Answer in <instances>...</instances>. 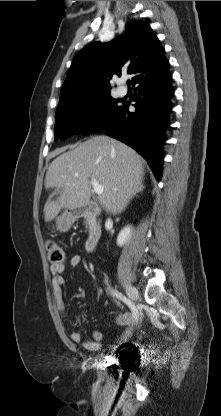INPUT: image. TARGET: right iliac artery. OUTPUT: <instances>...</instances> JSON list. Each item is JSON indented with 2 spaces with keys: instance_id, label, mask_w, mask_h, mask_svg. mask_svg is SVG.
Instances as JSON below:
<instances>
[{
  "instance_id": "right-iliac-artery-1",
  "label": "right iliac artery",
  "mask_w": 221,
  "mask_h": 416,
  "mask_svg": "<svg viewBox=\"0 0 221 416\" xmlns=\"http://www.w3.org/2000/svg\"><path fill=\"white\" fill-rule=\"evenodd\" d=\"M111 292H112L113 296H116L118 299H120L121 301H123L128 307H130V309H131V311L133 313V316H134L135 320H137L138 311L135 308V306L132 305L131 301L126 296H124L123 294L119 293L117 290L112 289Z\"/></svg>"
}]
</instances>
